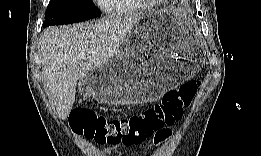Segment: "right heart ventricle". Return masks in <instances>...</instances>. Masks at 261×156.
Masks as SVG:
<instances>
[{"label":"right heart ventricle","instance_id":"right-heart-ventricle-1","mask_svg":"<svg viewBox=\"0 0 261 156\" xmlns=\"http://www.w3.org/2000/svg\"><path fill=\"white\" fill-rule=\"evenodd\" d=\"M129 0H107V9L113 11H124L130 9Z\"/></svg>","mask_w":261,"mask_h":156}]
</instances>
